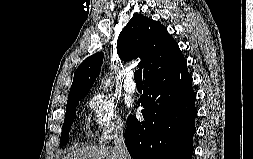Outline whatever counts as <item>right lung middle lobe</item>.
<instances>
[{"mask_svg":"<svg viewBox=\"0 0 253 159\" xmlns=\"http://www.w3.org/2000/svg\"><path fill=\"white\" fill-rule=\"evenodd\" d=\"M82 98L83 97H79V98H75L70 101H67L66 115H65L61 138H60L61 145H65L68 142L70 127L76 117V106L78 105L79 101Z\"/></svg>","mask_w":253,"mask_h":159,"instance_id":"dd1d6c3e","label":"right lung middle lobe"}]
</instances>
